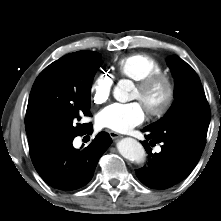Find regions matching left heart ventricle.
<instances>
[{
    "instance_id": "b2bd125f",
    "label": "left heart ventricle",
    "mask_w": 221,
    "mask_h": 221,
    "mask_svg": "<svg viewBox=\"0 0 221 221\" xmlns=\"http://www.w3.org/2000/svg\"><path fill=\"white\" fill-rule=\"evenodd\" d=\"M165 94V86L160 83L150 89L147 93L142 92L136 87L133 98L139 100L145 108L157 107L162 104Z\"/></svg>"
}]
</instances>
